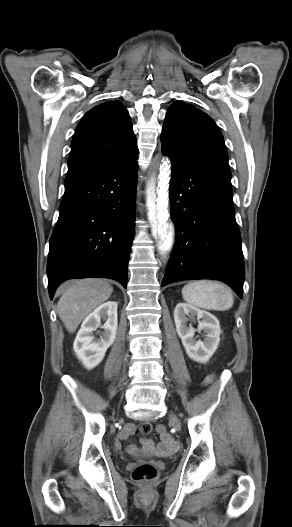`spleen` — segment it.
Segmentation results:
<instances>
[{"instance_id": "1", "label": "spleen", "mask_w": 292, "mask_h": 527, "mask_svg": "<svg viewBox=\"0 0 292 527\" xmlns=\"http://www.w3.org/2000/svg\"><path fill=\"white\" fill-rule=\"evenodd\" d=\"M182 296L188 304L207 310H228L234 301L232 291L226 285L205 280L185 285Z\"/></svg>"}]
</instances>
